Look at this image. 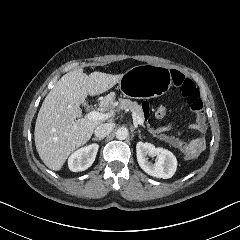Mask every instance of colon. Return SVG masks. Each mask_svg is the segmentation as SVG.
Returning <instances> with one entry per match:
<instances>
[{
  "label": "colon",
  "mask_w": 240,
  "mask_h": 240,
  "mask_svg": "<svg viewBox=\"0 0 240 240\" xmlns=\"http://www.w3.org/2000/svg\"><path fill=\"white\" fill-rule=\"evenodd\" d=\"M173 79L176 81V86L179 89H183V96L186 98V101L194 113V121L196 127L204 131V116L202 113L203 102L199 97V92L192 82L186 76H182L180 72H175L173 74ZM157 118H162L165 115L163 109H158L155 111ZM202 152V144H197V149H191L190 154L193 156H198V153Z\"/></svg>",
  "instance_id": "1"
}]
</instances>
